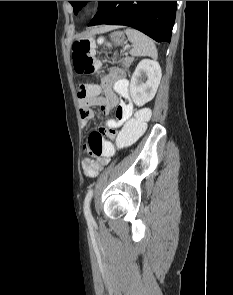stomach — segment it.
Wrapping results in <instances>:
<instances>
[{"label":"stomach","mask_w":233,"mask_h":295,"mask_svg":"<svg viewBox=\"0 0 233 295\" xmlns=\"http://www.w3.org/2000/svg\"><path fill=\"white\" fill-rule=\"evenodd\" d=\"M125 36L123 32L117 31L111 34V40L116 46H120L123 44Z\"/></svg>","instance_id":"0dacf381"}]
</instances>
